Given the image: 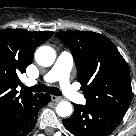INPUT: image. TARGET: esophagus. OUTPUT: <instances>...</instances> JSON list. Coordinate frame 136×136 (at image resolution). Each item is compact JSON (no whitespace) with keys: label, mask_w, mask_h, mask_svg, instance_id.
I'll return each mask as SVG.
<instances>
[{"label":"esophagus","mask_w":136,"mask_h":136,"mask_svg":"<svg viewBox=\"0 0 136 136\" xmlns=\"http://www.w3.org/2000/svg\"><path fill=\"white\" fill-rule=\"evenodd\" d=\"M51 100L55 101V102H58V101L62 100V98L58 97V96H55V95H51Z\"/></svg>","instance_id":"obj_1"}]
</instances>
